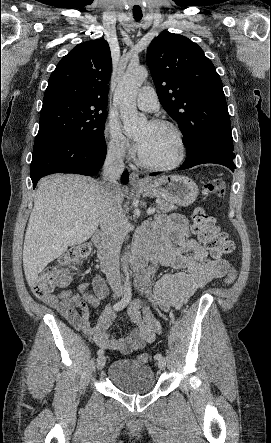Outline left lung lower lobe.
I'll return each instance as SVG.
<instances>
[{
    "instance_id": "0a47b994",
    "label": "left lung lower lobe",
    "mask_w": 271,
    "mask_h": 443,
    "mask_svg": "<svg viewBox=\"0 0 271 443\" xmlns=\"http://www.w3.org/2000/svg\"><path fill=\"white\" fill-rule=\"evenodd\" d=\"M233 140L222 136H208L197 143V147L187 153V158L179 170L191 168L198 164L216 163L234 171L235 154L233 153ZM153 173L152 175H157Z\"/></svg>"
}]
</instances>
